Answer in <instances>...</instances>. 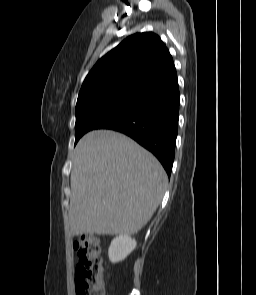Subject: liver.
I'll use <instances>...</instances> for the list:
<instances>
[{"label": "liver", "instance_id": "obj_1", "mask_svg": "<svg viewBox=\"0 0 256 295\" xmlns=\"http://www.w3.org/2000/svg\"><path fill=\"white\" fill-rule=\"evenodd\" d=\"M167 175L131 138L95 130L78 142L71 172L70 234L132 235L159 206Z\"/></svg>", "mask_w": 256, "mask_h": 295}]
</instances>
